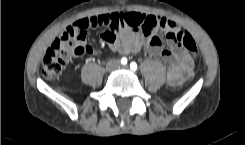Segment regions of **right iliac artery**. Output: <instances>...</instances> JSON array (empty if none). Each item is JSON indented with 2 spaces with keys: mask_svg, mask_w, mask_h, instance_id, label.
Masks as SVG:
<instances>
[{
  "mask_svg": "<svg viewBox=\"0 0 245 145\" xmlns=\"http://www.w3.org/2000/svg\"><path fill=\"white\" fill-rule=\"evenodd\" d=\"M121 63H122L123 65L127 64V59H126L125 57L122 58V59H121Z\"/></svg>",
  "mask_w": 245,
  "mask_h": 145,
  "instance_id": "right-iliac-artery-1",
  "label": "right iliac artery"
}]
</instances>
